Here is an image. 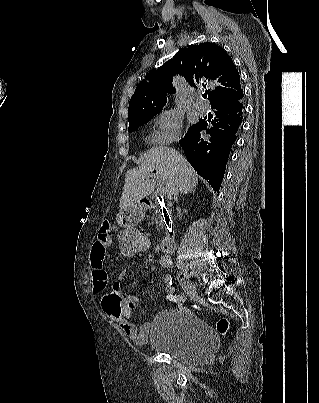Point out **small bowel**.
I'll list each match as a JSON object with an SVG mask.
<instances>
[{
  "mask_svg": "<svg viewBox=\"0 0 319 403\" xmlns=\"http://www.w3.org/2000/svg\"><path fill=\"white\" fill-rule=\"evenodd\" d=\"M111 226L104 223L99 231V235L93 245L90 254V268L93 279V291L102 293L107 288L108 294L101 295V310L105 311L107 316L116 321L122 331L136 344H144L148 340L151 325L145 323L138 327L132 320L131 312L138 304V298L134 294L128 296L120 293L122 290L121 283L124 280V271L119 273V278L113 284L107 287V273L104 269V255L110 244ZM121 236V234H120ZM138 255V254H137ZM171 265V257L163 254L160 260L161 268ZM160 270L158 267H152L151 271ZM167 292L171 293L172 288L167 286ZM120 293V295H117Z\"/></svg>",
  "mask_w": 319,
  "mask_h": 403,
  "instance_id": "obj_1",
  "label": "small bowel"
}]
</instances>
